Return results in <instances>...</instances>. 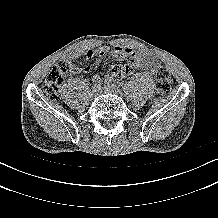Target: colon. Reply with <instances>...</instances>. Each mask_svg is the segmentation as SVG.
<instances>
[{"label": "colon", "instance_id": "colon-1", "mask_svg": "<svg viewBox=\"0 0 218 218\" xmlns=\"http://www.w3.org/2000/svg\"><path fill=\"white\" fill-rule=\"evenodd\" d=\"M67 71V65L62 62L57 63L50 71L44 84V93L52 101L59 100V89L64 82ZM109 72L113 76L120 77L124 73V66L119 64L113 65L109 69ZM155 77L156 90L154 98L158 100L168 93L171 85V76L169 70L165 66L159 64L155 71Z\"/></svg>", "mask_w": 218, "mask_h": 218}]
</instances>
